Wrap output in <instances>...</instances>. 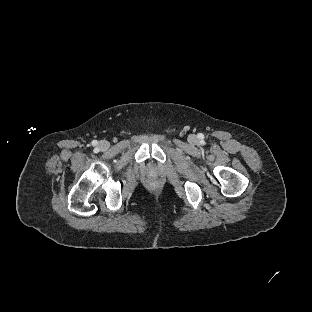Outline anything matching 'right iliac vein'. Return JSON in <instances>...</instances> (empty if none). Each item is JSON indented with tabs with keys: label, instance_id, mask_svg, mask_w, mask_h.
Masks as SVG:
<instances>
[{
	"label": "right iliac vein",
	"instance_id": "obj_1",
	"mask_svg": "<svg viewBox=\"0 0 312 312\" xmlns=\"http://www.w3.org/2000/svg\"><path fill=\"white\" fill-rule=\"evenodd\" d=\"M98 146H99L100 149H107L108 146H109V143L107 141H105V140H102V141L99 142Z\"/></svg>",
	"mask_w": 312,
	"mask_h": 312
}]
</instances>
